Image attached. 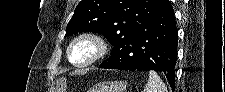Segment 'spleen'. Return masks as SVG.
Returning <instances> with one entry per match:
<instances>
[{
  "label": "spleen",
  "mask_w": 225,
  "mask_h": 92,
  "mask_svg": "<svg viewBox=\"0 0 225 92\" xmlns=\"http://www.w3.org/2000/svg\"><path fill=\"white\" fill-rule=\"evenodd\" d=\"M143 92H168V90L158 74L155 71H150L148 82Z\"/></svg>",
  "instance_id": "1"
}]
</instances>
